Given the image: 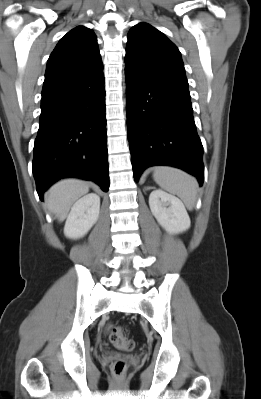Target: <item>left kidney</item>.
Wrapping results in <instances>:
<instances>
[{
  "instance_id": "obj_1",
  "label": "left kidney",
  "mask_w": 261,
  "mask_h": 399,
  "mask_svg": "<svg viewBox=\"0 0 261 399\" xmlns=\"http://www.w3.org/2000/svg\"><path fill=\"white\" fill-rule=\"evenodd\" d=\"M149 206L157 222L167 232L183 233L190 228V218L182 201L162 190H154L149 196Z\"/></svg>"
}]
</instances>
